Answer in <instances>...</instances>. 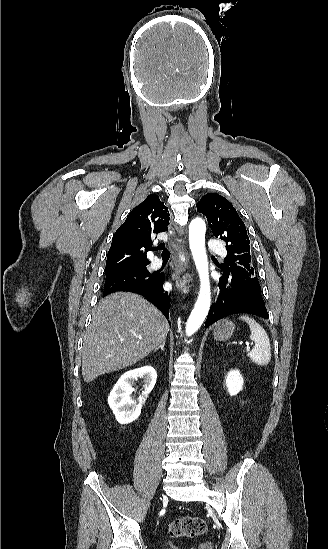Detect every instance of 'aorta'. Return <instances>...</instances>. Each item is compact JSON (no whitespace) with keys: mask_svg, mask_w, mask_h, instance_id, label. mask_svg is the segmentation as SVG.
<instances>
[{"mask_svg":"<svg viewBox=\"0 0 328 549\" xmlns=\"http://www.w3.org/2000/svg\"><path fill=\"white\" fill-rule=\"evenodd\" d=\"M206 225L201 218H195L189 226V243L200 277V291L195 306L186 324V335H193L204 322L211 303L208 258L205 248Z\"/></svg>","mask_w":328,"mask_h":549,"instance_id":"1","label":"aorta"}]
</instances>
